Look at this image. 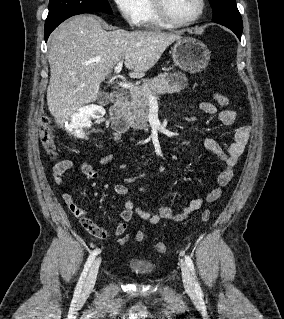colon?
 <instances>
[{
    "label": "colon",
    "instance_id": "5ec220e1",
    "mask_svg": "<svg viewBox=\"0 0 284 319\" xmlns=\"http://www.w3.org/2000/svg\"><path fill=\"white\" fill-rule=\"evenodd\" d=\"M214 100L220 106H227L229 104V99L221 93H215ZM40 139H41L43 147L46 149L49 155L51 157H55L56 155L55 136L51 129L50 121L48 118H44L41 122ZM209 218H210V210L207 209L202 213L201 220L202 222H207ZM143 239H144V234L142 232H137L135 234L136 241L141 242L143 241ZM128 240H129V237L124 236L118 239V243L121 245H124L128 242ZM156 250L159 253H164L166 251V245L163 242H158L156 244Z\"/></svg>",
    "mask_w": 284,
    "mask_h": 319
}]
</instances>
